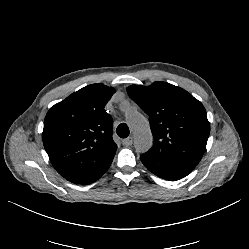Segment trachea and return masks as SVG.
Listing matches in <instances>:
<instances>
[{
    "label": "trachea",
    "instance_id": "1",
    "mask_svg": "<svg viewBox=\"0 0 249 249\" xmlns=\"http://www.w3.org/2000/svg\"><path fill=\"white\" fill-rule=\"evenodd\" d=\"M129 128L125 123H121L118 127H117V135L121 138H126L129 136Z\"/></svg>",
    "mask_w": 249,
    "mask_h": 249
}]
</instances>
